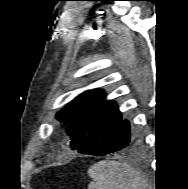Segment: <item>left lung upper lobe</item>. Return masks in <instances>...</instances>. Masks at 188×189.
Instances as JSON below:
<instances>
[{
  "label": "left lung upper lobe",
  "mask_w": 188,
  "mask_h": 189,
  "mask_svg": "<svg viewBox=\"0 0 188 189\" xmlns=\"http://www.w3.org/2000/svg\"><path fill=\"white\" fill-rule=\"evenodd\" d=\"M105 98L103 90L85 91L56 115L71 137V148L79 153H89L122 121L117 104Z\"/></svg>",
  "instance_id": "obj_1"
}]
</instances>
